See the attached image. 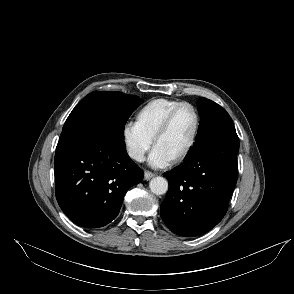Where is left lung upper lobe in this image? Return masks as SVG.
<instances>
[{
	"mask_svg": "<svg viewBox=\"0 0 294 294\" xmlns=\"http://www.w3.org/2000/svg\"><path fill=\"white\" fill-rule=\"evenodd\" d=\"M198 110L201 121L195 139L196 142L221 132L236 131L229 114L217 103L201 97L198 100Z\"/></svg>",
	"mask_w": 294,
	"mask_h": 294,
	"instance_id": "1",
	"label": "left lung upper lobe"
}]
</instances>
